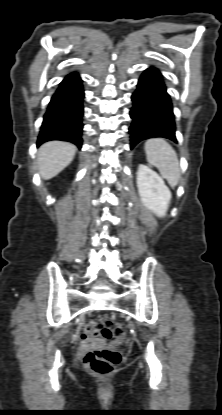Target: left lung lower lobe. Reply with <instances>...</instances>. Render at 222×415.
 <instances>
[{"label":"left lung lower lobe","mask_w":222,"mask_h":415,"mask_svg":"<svg viewBox=\"0 0 222 415\" xmlns=\"http://www.w3.org/2000/svg\"><path fill=\"white\" fill-rule=\"evenodd\" d=\"M131 100V149L140 141L151 137H163L177 142L173 106L160 69L150 66L142 73Z\"/></svg>","instance_id":"obj_1"}]
</instances>
